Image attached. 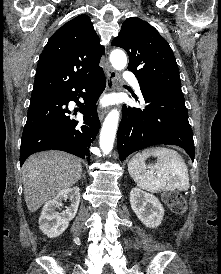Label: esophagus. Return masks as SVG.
Masks as SVG:
<instances>
[{
    "label": "esophagus",
    "instance_id": "34e87169",
    "mask_svg": "<svg viewBox=\"0 0 221 274\" xmlns=\"http://www.w3.org/2000/svg\"><path fill=\"white\" fill-rule=\"evenodd\" d=\"M117 81H118V74L117 72L111 67H108L107 70V91H112L115 90L117 86ZM99 119L102 121L107 114L106 109H100L99 112Z\"/></svg>",
    "mask_w": 221,
    "mask_h": 274
}]
</instances>
